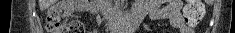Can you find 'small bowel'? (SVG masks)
<instances>
[{
	"label": "small bowel",
	"instance_id": "small-bowel-1",
	"mask_svg": "<svg viewBox=\"0 0 235 33\" xmlns=\"http://www.w3.org/2000/svg\"><path fill=\"white\" fill-rule=\"evenodd\" d=\"M181 0H141L133 7V14L142 18L148 16L152 20L168 19L173 28L179 33H194L182 16Z\"/></svg>",
	"mask_w": 235,
	"mask_h": 33
}]
</instances>
